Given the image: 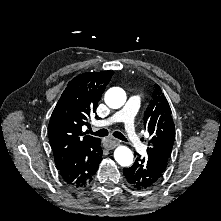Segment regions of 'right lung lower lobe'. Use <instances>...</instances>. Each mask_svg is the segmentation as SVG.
Returning a JSON list of instances; mask_svg holds the SVG:
<instances>
[{
	"instance_id": "right-lung-lower-lobe-1",
	"label": "right lung lower lobe",
	"mask_w": 221,
	"mask_h": 221,
	"mask_svg": "<svg viewBox=\"0 0 221 221\" xmlns=\"http://www.w3.org/2000/svg\"><path fill=\"white\" fill-rule=\"evenodd\" d=\"M100 139L82 146L57 166L62 179L73 187L88 185L102 160Z\"/></svg>"
}]
</instances>
